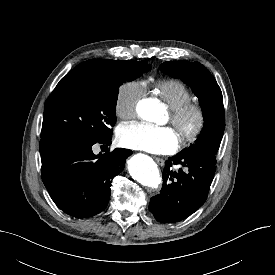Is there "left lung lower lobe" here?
<instances>
[{
	"mask_svg": "<svg viewBox=\"0 0 275 275\" xmlns=\"http://www.w3.org/2000/svg\"><path fill=\"white\" fill-rule=\"evenodd\" d=\"M174 165H181L176 172ZM216 171V156L201 151L177 154L165 162L160 194L150 200L149 210L162 223H173L187 218L205 202Z\"/></svg>",
	"mask_w": 275,
	"mask_h": 275,
	"instance_id": "0a47b994",
	"label": "left lung lower lobe"
}]
</instances>
